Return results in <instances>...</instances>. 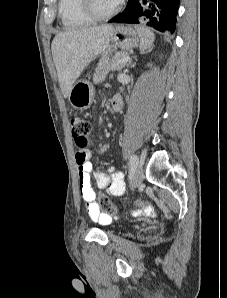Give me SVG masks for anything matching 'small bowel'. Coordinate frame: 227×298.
I'll return each instance as SVG.
<instances>
[{
	"label": "small bowel",
	"instance_id": "1",
	"mask_svg": "<svg viewBox=\"0 0 227 298\" xmlns=\"http://www.w3.org/2000/svg\"><path fill=\"white\" fill-rule=\"evenodd\" d=\"M75 158L78 169L80 193L90 218L99 222L110 221V216L102 213L99 204L95 201V192L92 188L91 176H94L98 188L106 190L112 196L119 197L123 195L125 190L122 173L114 171L113 168H110L109 172L97 171L92 161V155L88 150L78 151ZM145 211L149 212L151 208L145 207ZM138 212L139 209L135 208L134 213Z\"/></svg>",
	"mask_w": 227,
	"mask_h": 298
}]
</instances>
